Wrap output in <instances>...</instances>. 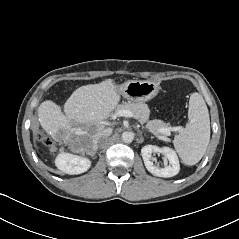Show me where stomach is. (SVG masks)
Listing matches in <instances>:
<instances>
[{"label": "stomach", "instance_id": "stomach-1", "mask_svg": "<svg viewBox=\"0 0 239 239\" xmlns=\"http://www.w3.org/2000/svg\"><path fill=\"white\" fill-rule=\"evenodd\" d=\"M119 94L132 102H147L159 91V85L153 81L130 80L118 87Z\"/></svg>", "mask_w": 239, "mask_h": 239}]
</instances>
